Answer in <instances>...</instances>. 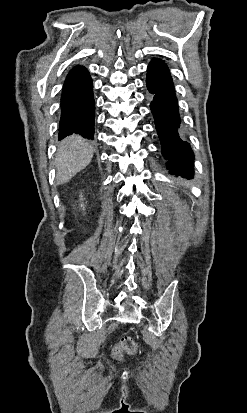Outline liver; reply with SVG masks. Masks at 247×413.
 I'll list each match as a JSON object with an SVG mask.
<instances>
[{
	"mask_svg": "<svg viewBox=\"0 0 247 413\" xmlns=\"http://www.w3.org/2000/svg\"><path fill=\"white\" fill-rule=\"evenodd\" d=\"M94 148L79 134H71L59 144L55 166L57 168L56 182L63 184L75 176L79 170L89 164Z\"/></svg>",
	"mask_w": 247,
	"mask_h": 413,
	"instance_id": "6515ba94",
	"label": "liver"
}]
</instances>
